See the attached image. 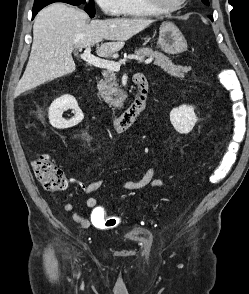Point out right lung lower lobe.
Listing matches in <instances>:
<instances>
[{"mask_svg":"<svg viewBox=\"0 0 249 294\" xmlns=\"http://www.w3.org/2000/svg\"><path fill=\"white\" fill-rule=\"evenodd\" d=\"M42 8H33L32 11V19L35 17V15L41 10Z\"/></svg>","mask_w":249,"mask_h":294,"instance_id":"right-lung-lower-lobe-1","label":"right lung lower lobe"}]
</instances>
